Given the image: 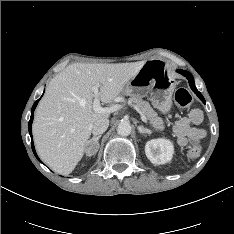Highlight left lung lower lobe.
<instances>
[{
  "label": "left lung lower lobe",
  "instance_id": "1",
  "mask_svg": "<svg viewBox=\"0 0 234 234\" xmlns=\"http://www.w3.org/2000/svg\"><path fill=\"white\" fill-rule=\"evenodd\" d=\"M180 74H182L183 76H185L188 80H189V84L191 89L197 94V96L205 103V100L202 96V94L196 89L195 87V83H194V79L193 76L191 75V73H189L188 71H184V70H177Z\"/></svg>",
  "mask_w": 234,
  "mask_h": 234
}]
</instances>
